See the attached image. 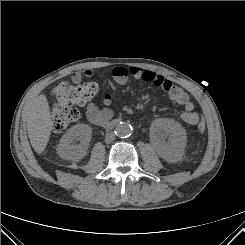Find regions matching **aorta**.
Masks as SVG:
<instances>
[{
  "label": "aorta",
  "mask_w": 245,
  "mask_h": 245,
  "mask_svg": "<svg viewBox=\"0 0 245 245\" xmlns=\"http://www.w3.org/2000/svg\"><path fill=\"white\" fill-rule=\"evenodd\" d=\"M132 131V126L126 122H120L115 127V134L122 138L130 136Z\"/></svg>",
  "instance_id": "obj_1"
}]
</instances>
